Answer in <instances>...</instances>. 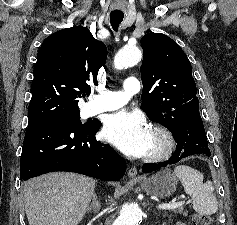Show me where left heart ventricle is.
<instances>
[{"mask_svg": "<svg viewBox=\"0 0 237 225\" xmlns=\"http://www.w3.org/2000/svg\"><path fill=\"white\" fill-rule=\"evenodd\" d=\"M155 146H156V140H155V138L150 134V135H149L148 150H147V152H148L149 150H151L152 148H154Z\"/></svg>", "mask_w": 237, "mask_h": 225, "instance_id": "1", "label": "left heart ventricle"}]
</instances>
